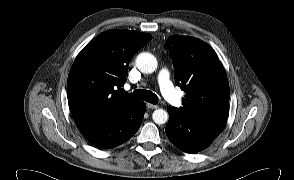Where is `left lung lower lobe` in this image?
Returning <instances> with one entry per match:
<instances>
[{
  "label": "left lung lower lobe",
  "mask_w": 294,
  "mask_h": 180,
  "mask_svg": "<svg viewBox=\"0 0 294 180\" xmlns=\"http://www.w3.org/2000/svg\"><path fill=\"white\" fill-rule=\"evenodd\" d=\"M169 121L165 132L180 150L194 154L208 147L223 131L226 118L191 117L175 107H168Z\"/></svg>",
  "instance_id": "obj_1"
}]
</instances>
